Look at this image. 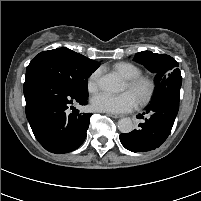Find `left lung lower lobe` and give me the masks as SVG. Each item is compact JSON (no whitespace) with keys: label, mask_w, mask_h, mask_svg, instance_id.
<instances>
[{"label":"left lung lower lobe","mask_w":201,"mask_h":201,"mask_svg":"<svg viewBox=\"0 0 201 201\" xmlns=\"http://www.w3.org/2000/svg\"><path fill=\"white\" fill-rule=\"evenodd\" d=\"M180 93L169 91L154 99L137 118L144 119L137 130L120 135L122 145L132 152L159 147L169 136L179 110ZM146 116V117H145Z\"/></svg>","instance_id":"0a47b994"}]
</instances>
